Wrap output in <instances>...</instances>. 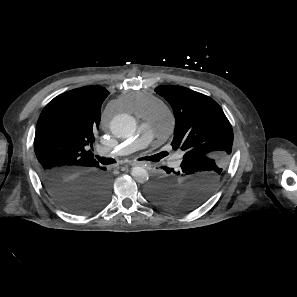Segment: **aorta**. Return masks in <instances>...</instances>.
<instances>
[{"instance_id":"obj_1","label":"aorta","mask_w":297,"mask_h":297,"mask_svg":"<svg viewBox=\"0 0 297 297\" xmlns=\"http://www.w3.org/2000/svg\"><path fill=\"white\" fill-rule=\"evenodd\" d=\"M110 127L112 133L117 137L128 138L134 134L136 130V123L130 115L119 114L112 119ZM131 175L138 183L142 184L149 179L147 170L140 166L133 167Z\"/></svg>"}]
</instances>
